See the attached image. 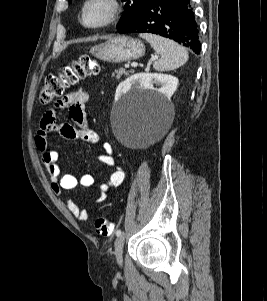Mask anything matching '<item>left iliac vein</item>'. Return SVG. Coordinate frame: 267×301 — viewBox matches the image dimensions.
I'll return each instance as SVG.
<instances>
[{"mask_svg":"<svg viewBox=\"0 0 267 301\" xmlns=\"http://www.w3.org/2000/svg\"><path fill=\"white\" fill-rule=\"evenodd\" d=\"M125 241V233H121L115 240V257L119 265H122V249Z\"/></svg>","mask_w":267,"mask_h":301,"instance_id":"left-iliac-vein-1","label":"left iliac vein"}]
</instances>
